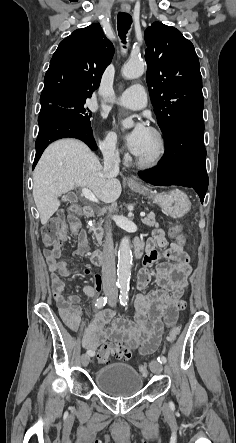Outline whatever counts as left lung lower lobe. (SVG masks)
Returning a JSON list of instances; mask_svg holds the SVG:
<instances>
[{
    "label": "left lung lower lobe",
    "instance_id": "0a47b994",
    "mask_svg": "<svg viewBox=\"0 0 236 443\" xmlns=\"http://www.w3.org/2000/svg\"><path fill=\"white\" fill-rule=\"evenodd\" d=\"M203 134L202 117L189 116L179 120L164 136L166 152L160 165L138 175L153 185L191 187L203 203L208 187Z\"/></svg>",
    "mask_w": 236,
    "mask_h": 443
}]
</instances>
